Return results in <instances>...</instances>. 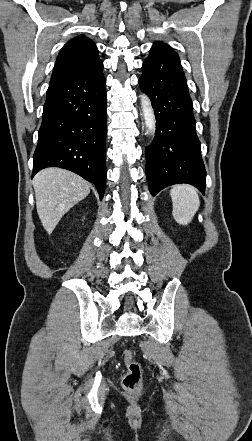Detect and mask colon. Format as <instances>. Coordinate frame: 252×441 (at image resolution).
I'll return each instance as SVG.
<instances>
[{
  "label": "colon",
  "instance_id": "5ec220e1",
  "mask_svg": "<svg viewBox=\"0 0 252 441\" xmlns=\"http://www.w3.org/2000/svg\"><path fill=\"white\" fill-rule=\"evenodd\" d=\"M135 353L132 349L123 352L127 372L123 378V387L130 392H137L141 388L142 370L140 364L134 359Z\"/></svg>",
  "mask_w": 252,
  "mask_h": 441
}]
</instances>
